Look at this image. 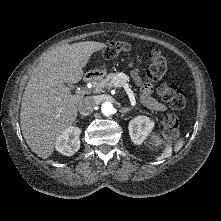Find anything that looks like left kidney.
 I'll return each instance as SVG.
<instances>
[{
    "label": "left kidney",
    "mask_w": 221,
    "mask_h": 221,
    "mask_svg": "<svg viewBox=\"0 0 221 221\" xmlns=\"http://www.w3.org/2000/svg\"><path fill=\"white\" fill-rule=\"evenodd\" d=\"M154 127V122L146 116H138L129 123V134L134 144L140 145Z\"/></svg>",
    "instance_id": "obj_1"
}]
</instances>
